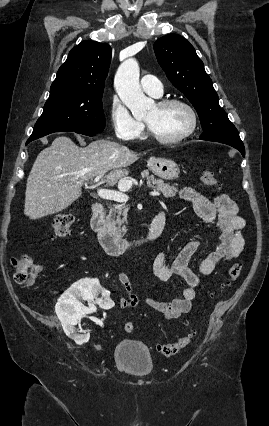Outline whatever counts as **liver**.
<instances>
[{
  "label": "liver",
  "mask_w": 269,
  "mask_h": 426,
  "mask_svg": "<svg viewBox=\"0 0 269 426\" xmlns=\"http://www.w3.org/2000/svg\"><path fill=\"white\" fill-rule=\"evenodd\" d=\"M138 154L109 140L78 147L60 136L37 156L27 179L24 214L32 220L63 211L82 194L85 182L106 176L114 186L128 174Z\"/></svg>",
  "instance_id": "1"
}]
</instances>
